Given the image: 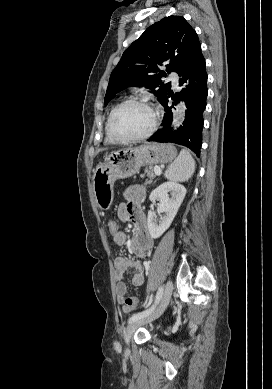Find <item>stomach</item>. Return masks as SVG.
<instances>
[{
    "mask_svg": "<svg viewBox=\"0 0 272 389\" xmlns=\"http://www.w3.org/2000/svg\"><path fill=\"white\" fill-rule=\"evenodd\" d=\"M177 155L171 144L147 143L112 152L100 163L93 175V191L98 208L108 210L114 199V182L139 172L145 165L167 163Z\"/></svg>",
    "mask_w": 272,
    "mask_h": 389,
    "instance_id": "1",
    "label": "stomach"
}]
</instances>
